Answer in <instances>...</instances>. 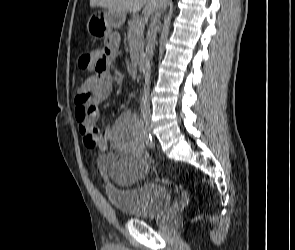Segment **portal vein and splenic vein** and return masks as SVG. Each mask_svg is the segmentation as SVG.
I'll return each instance as SVG.
<instances>
[{
	"label": "portal vein and splenic vein",
	"mask_w": 295,
	"mask_h": 250,
	"mask_svg": "<svg viewBox=\"0 0 295 250\" xmlns=\"http://www.w3.org/2000/svg\"><path fill=\"white\" fill-rule=\"evenodd\" d=\"M147 20H148V15L144 14V16L139 19L138 24L145 25V23H147Z\"/></svg>",
	"instance_id": "portal-vein-and-splenic-vein-1"
}]
</instances>
